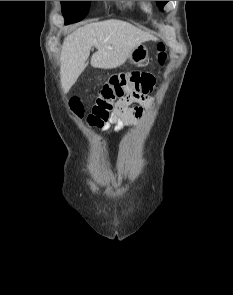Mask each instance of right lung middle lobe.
<instances>
[{
	"label": "right lung middle lobe",
	"instance_id": "obj_1",
	"mask_svg": "<svg viewBox=\"0 0 233 295\" xmlns=\"http://www.w3.org/2000/svg\"><path fill=\"white\" fill-rule=\"evenodd\" d=\"M65 24L82 20L88 13L90 1H61Z\"/></svg>",
	"mask_w": 233,
	"mask_h": 295
}]
</instances>
